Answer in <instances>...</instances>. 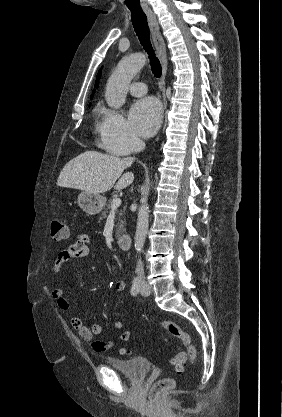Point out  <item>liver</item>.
Wrapping results in <instances>:
<instances>
[{
    "label": "liver",
    "instance_id": "obj_1",
    "mask_svg": "<svg viewBox=\"0 0 282 417\" xmlns=\"http://www.w3.org/2000/svg\"><path fill=\"white\" fill-rule=\"evenodd\" d=\"M130 164L131 160L128 158L102 154L97 150H86L65 164L59 174L57 184L99 194V192L110 190L117 180L114 188L121 190L134 180L133 172L122 174L124 168Z\"/></svg>",
    "mask_w": 282,
    "mask_h": 417
}]
</instances>
